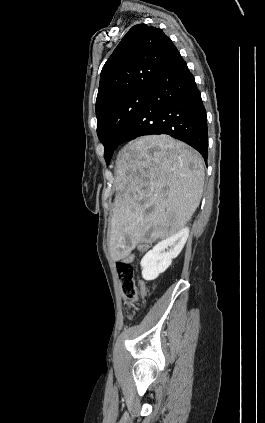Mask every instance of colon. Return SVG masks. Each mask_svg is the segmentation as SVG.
<instances>
[{"label":"colon","mask_w":265,"mask_h":423,"mask_svg":"<svg viewBox=\"0 0 265 423\" xmlns=\"http://www.w3.org/2000/svg\"><path fill=\"white\" fill-rule=\"evenodd\" d=\"M116 270L122 283L123 297L127 302H133L145 295V284L135 280V266L132 256L119 260L116 263Z\"/></svg>","instance_id":"obj_1"}]
</instances>
